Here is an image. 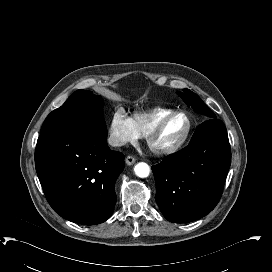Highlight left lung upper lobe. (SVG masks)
<instances>
[{"instance_id": "left-lung-upper-lobe-1", "label": "left lung upper lobe", "mask_w": 272, "mask_h": 272, "mask_svg": "<svg viewBox=\"0 0 272 272\" xmlns=\"http://www.w3.org/2000/svg\"><path fill=\"white\" fill-rule=\"evenodd\" d=\"M183 92L184 93L178 92V94L187 105H191L195 111L206 115L209 119L216 118L213 111L207 107V105L200 99L197 94L193 93L189 89H183Z\"/></svg>"}]
</instances>
